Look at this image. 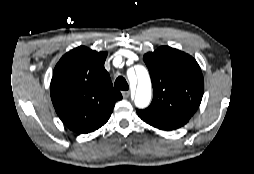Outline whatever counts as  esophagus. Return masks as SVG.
Returning a JSON list of instances; mask_svg holds the SVG:
<instances>
[{
    "label": "esophagus",
    "mask_w": 254,
    "mask_h": 174,
    "mask_svg": "<svg viewBox=\"0 0 254 174\" xmlns=\"http://www.w3.org/2000/svg\"><path fill=\"white\" fill-rule=\"evenodd\" d=\"M122 96H123V98H129L130 92L129 91H123Z\"/></svg>",
    "instance_id": "1"
}]
</instances>
